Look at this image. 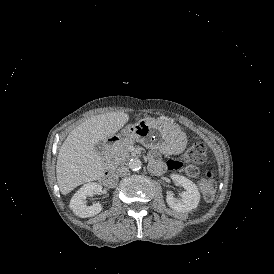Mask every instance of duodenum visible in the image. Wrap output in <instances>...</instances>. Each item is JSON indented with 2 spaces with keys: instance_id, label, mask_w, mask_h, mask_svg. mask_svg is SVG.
Instances as JSON below:
<instances>
[{
  "instance_id": "1",
  "label": "duodenum",
  "mask_w": 274,
  "mask_h": 274,
  "mask_svg": "<svg viewBox=\"0 0 274 274\" xmlns=\"http://www.w3.org/2000/svg\"><path fill=\"white\" fill-rule=\"evenodd\" d=\"M118 141V138L117 137H110L106 140V143H105V148H104V155H103V160H104V163H105V166H106V171H105V178L107 180H112L114 177H115V172L114 170L112 169L109 161H108V150L110 148V146L112 144H114L115 142Z\"/></svg>"
}]
</instances>
